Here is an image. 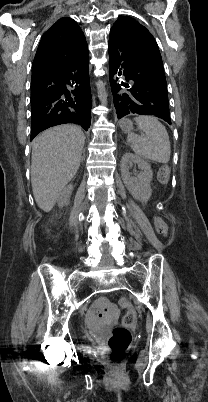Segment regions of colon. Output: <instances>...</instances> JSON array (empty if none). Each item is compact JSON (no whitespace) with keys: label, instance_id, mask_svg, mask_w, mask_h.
I'll list each match as a JSON object with an SVG mask.
<instances>
[{"label":"colon","instance_id":"1","mask_svg":"<svg viewBox=\"0 0 208 402\" xmlns=\"http://www.w3.org/2000/svg\"><path fill=\"white\" fill-rule=\"evenodd\" d=\"M170 177V167L165 164L160 168L158 179L162 185H167ZM154 225L157 232L164 238L169 236V225L166 220L161 216L154 218ZM122 307L125 310L123 317V324H111L109 327L112 333L109 338L111 357L110 361L113 363H119L123 360L125 351L127 349L130 339V327L136 325V320L133 318L136 310L134 304L129 298L124 297L121 300Z\"/></svg>","mask_w":208,"mask_h":402}]
</instances>
